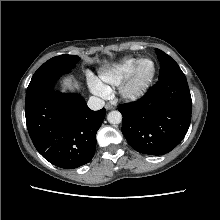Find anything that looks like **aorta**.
Instances as JSON below:
<instances>
[{
  "mask_svg": "<svg viewBox=\"0 0 220 220\" xmlns=\"http://www.w3.org/2000/svg\"><path fill=\"white\" fill-rule=\"evenodd\" d=\"M107 120L111 124H119L122 121V115L119 111H111L107 116Z\"/></svg>",
  "mask_w": 220,
  "mask_h": 220,
  "instance_id": "1",
  "label": "aorta"
}]
</instances>
